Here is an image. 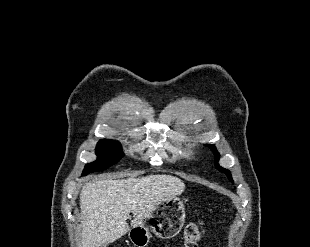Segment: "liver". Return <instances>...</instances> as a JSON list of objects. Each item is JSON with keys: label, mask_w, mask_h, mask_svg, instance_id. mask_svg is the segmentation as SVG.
Here are the masks:
<instances>
[{"label": "liver", "mask_w": 310, "mask_h": 247, "mask_svg": "<svg viewBox=\"0 0 310 247\" xmlns=\"http://www.w3.org/2000/svg\"><path fill=\"white\" fill-rule=\"evenodd\" d=\"M184 189L181 179L165 174L128 179L104 177L87 182L80 192L81 247L116 241L130 230V213L132 226L142 224L159 203Z\"/></svg>", "instance_id": "obj_1"}]
</instances>
